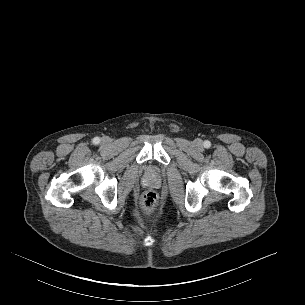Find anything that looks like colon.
<instances>
[{"instance_id":"obj_1","label":"colon","mask_w":305,"mask_h":305,"mask_svg":"<svg viewBox=\"0 0 305 305\" xmlns=\"http://www.w3.org/2000/svg\"><path fill=\"white\" fill-rule=\"evenodd\" d=\"M158 201L157 194L154 191H147L140 200V206L145 214L151 213L156 207Z\"/></svg>"}]
</instances>
